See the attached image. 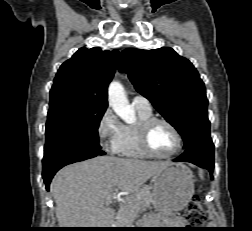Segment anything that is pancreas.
Wrapping results in <instances>:
<instances>
[{
  "label": "pancreas",
  "instance_id": "cf45deb5",
  "mask_svg": "<svg viewBox=\"0 0 252 231\" xmlns=\"http://www.w3.org/2000/svg\"><path fill=\"white\" fill-rule=\"evenodd\" d=\"M152 192L150 188L141 189L135 196L127 198L128 204L119 212L117 224L127 226L130 224V212L134 206L149 207L152 204Z\"/></svg>",
  "mask_w": 252,
  "mask_h": 231
}]
</instances>
